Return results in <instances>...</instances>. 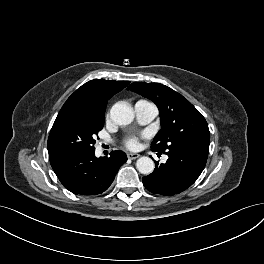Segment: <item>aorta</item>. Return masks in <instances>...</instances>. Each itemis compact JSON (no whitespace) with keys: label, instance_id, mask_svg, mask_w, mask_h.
Listing matches in <instances>:
<instances>
[{"label":"aorta","instance_id":"obj_1","mask_svg":"<svg viewBox=\"0 0 264 264\" xmlns=\"http://www.w3.org/2000/svg\"><path fill=\"white\" fill-rule=\"evenodd\" d=\"M110 117L117 125H128L134 119V112L126 103L118 102L110 110ZM137 170L145 175L153 172L155 164L150 157H140L136 162Z\"/></svg>","mask_w":264,"mask_h":264}]
</instances>
